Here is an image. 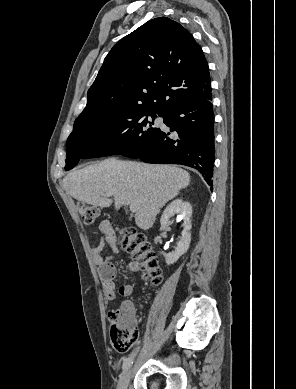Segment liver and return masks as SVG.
Masks as SVG:
<instances>
[{"label": "liver", "mask_w": 296, "mask_h": 389, "mask_svg": "<svg viewBox=\"0 0 296 389\" xmlns=\"http://www.w3.org/2000/svg\"><path fill=\"white\" fill-rule=\"evenodd\" d=\"M62 183L67 194L92 206L109 207L107 194L116 210L134 205L136 225L148 230L160 209L189 185L190 175L175 166L106 159L68 173Z\"/></svg>", "instance_id": "liver-1"}]
</instances>
